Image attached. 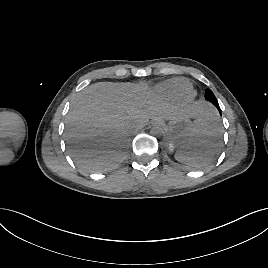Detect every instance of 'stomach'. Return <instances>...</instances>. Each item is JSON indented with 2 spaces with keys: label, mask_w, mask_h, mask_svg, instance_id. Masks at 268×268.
I'll return each instance as SVG.
<instances>
[{
  "label": "stomach",
  "mask_w": 268,
  "mask_h": 268,
  "mask_svg": "<svg viewBox=\"0 0 268 268\" xmlns=\"http://www.w3.org/2000/svg\"><path fill=\"white\" fill-rule=\"evenodd\" d=\"M163 128L167 138L170 140V147L180 148L190 141L194 123L187 115L176 116L165 123L164 120L157 122Z\"/></svg>",
  "instance_id": "1"
}]
</instances>
